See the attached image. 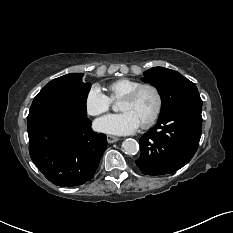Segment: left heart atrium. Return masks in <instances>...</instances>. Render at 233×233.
Masks as SVG:
<instances>
[{"instance_id":"left-heart-atrium-1","label":"left heart atrium","mask_w":233,"mask_h":233,"mask_svg":"<svg viewBox=\"0 0 233 233\" xmlns=\"http://www.w3.org/2000/svg\"><path fill=\"white\" fill-rule=\"evenodd\" d=\"M141 125L139 119L133 113L127 111L106 115L96 120L94 124L96 130L113 135L131 134Z\"/></svg>"}]
</instances>
